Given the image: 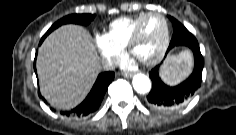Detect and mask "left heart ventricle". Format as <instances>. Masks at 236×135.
<instances>
[{"mask_svg":"<svg viewBox=\"0 0 236 135\" xmlns=\"http://www.w3.org/2000/svg\"><path fill=\"white\" fill-rule=\"evenodd\" d=\"M164 38V25L157 16L146 19L142 26L141 36L133 54L137 60H144L154 56L159 50Z\"/></svg>","mask_w":236,"mask_h":135,"instance_id":"obj_1","label":"left heart ventricle"}]
</instances>
